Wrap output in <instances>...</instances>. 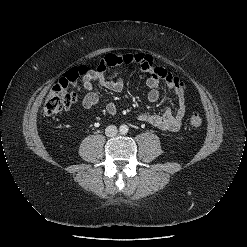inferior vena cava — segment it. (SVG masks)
I'll return each mask as SVG.
<instances>
[{
  "label": "inferior vena cava",
  "instance_id": "602c4592",
  "mask_svg": "<svg viewBox=\"0 0 247 247\" xmlns=\"http://www.w3.org/2000/svg\"><path fill=\"white\" fill-rule=\"evenodd\" d=\"M118 132V129L115 125H110L107 126V128L105 129V135L107 137H114Z\"/></svg>",
  "mask_w": 247,
  "mask_h": 247
}]
</instances>
